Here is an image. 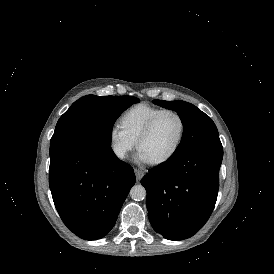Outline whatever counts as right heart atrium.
Listing matches in <instances>:
<instances>
[{"label":"right heart atrium","instance_id":"right-heart-atrium-1","mask_svg":"<svg viewBox=\"0 0 274 274\" xmlns=\"http://www.w3.org/2000/svg\"><path fill=\"white\" fill-rule=\"evenodd\" d=\"M108 143L111 151L120 160L126 159L135 147V140L117 124H112L108 130Z\"/></svg>","mask_w":274,"mask_h":274}]
</instances>
